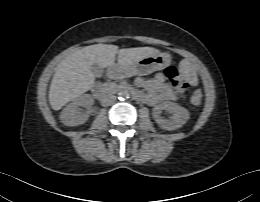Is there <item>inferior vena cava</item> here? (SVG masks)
<instances>
[{
	"mask_svg": "<svg viewBox=\"0 0 260 202\" xmlns=\"http://www.w3.org/2000/svg\"><path fill=\"white\" fill-rule=\"evenodd\" d=\"M115 101H116V96L113 94H107L101 98V104L103 106H109L113 104Z\"/></svg>",
	"mask_w": 260,
	"mask_h": 202,
	"instance_id": "1",
	"label": "inferior vena cava"
}]
</instances>
